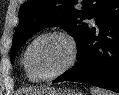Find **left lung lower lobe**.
I'll return each mask as SVG.
<instances>
[{
  "instance_id": "1",
  "label": "left lung lower lobe",
  "mask_w": 119,
  "mask_h": 95,
  "mask_svg": "<svg viewBox=\"0 0 119 95\" xmlns=\"http://www.w3.org/2000/svg\"><path fill=\"white\" fill-rule=\"evenodd\" d=\"M94 18L99 33L90 28L77 47L78 62L53 83L81 82L119 93V0H108Z\"/></svg>"
}]
</instances>
